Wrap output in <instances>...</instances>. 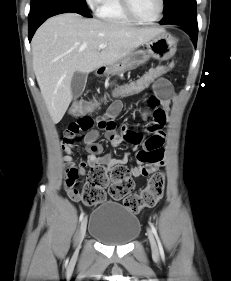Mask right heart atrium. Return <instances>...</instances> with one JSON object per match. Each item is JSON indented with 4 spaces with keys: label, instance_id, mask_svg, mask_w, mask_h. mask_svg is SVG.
I'll use <instances>...</instances> for the list:
<instances>
[{
    "label": "right heart atrium",
    "instance_id": "d8ad5b80",
    "mask_svg": "<svg viewBox=\"0 0 231 281\" xmlns=\"http://www.w3.org/2000/svg\"><path fill=\"white\" fill-rule=\"evenodd\" d=\"M104 0H85L86 4L95 11H98Z\"/></svg>",
    "mask_w": 231,
    "mask_h": 281
}]
</instances>
